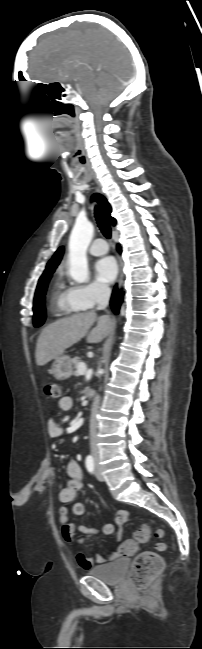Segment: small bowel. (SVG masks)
Wrapping results in <instances>:
<instances>
[{
  "instance_id": "obj_1",
  "label": "small bowel",
  "mask_w": 202,
  "mask_h": 649,
  "mask_svg": "<svg viewBox=\"0 0 202 649\" xmlns=\"http://www.w3.org/2000/svg\"><path fill=\"white\" fill-rule=\"evenodd\" d=\"M58 407L62 411H70L73 407V399L69 396L62 397L58 401ZM47 430L52 439L61 438L66 434L65 429L59 426L53 418L48 420ZM66 474L68 476L66 486L59 493V500L63 504L59 510L61 533L65 541L70 545H79L84 542V536L95 535L98 533V530L95 528L80 526L70 521L71 514L79 516L85 511V506L79 502L73 503L69 506V504L75 500L77 493L83 487V471L80 464L77 461L72 460L66 465ZM128 518L129 512L127 510L118 511L115 517V522L113 524H106L102 529L103 533L105 535L114 534L116 539L120 541L122 539V528ZM77 532L82 536H77ZM121 548L122 545L116 550H111L105 554H95L92 557H87L82 552H76V561L81 568L88 570L95 564L112 561L124 555Z\"/></svg>"
}]
</instances>
